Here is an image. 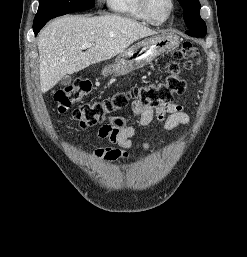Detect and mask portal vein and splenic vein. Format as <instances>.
I'll return each instance as SVG.
<instances>
[{
	"label": "portal vein and splenic vein",
	"instance_id": "portal-vein-and-splenic-vein-1",
	"mask_svg": "<svg viewBox=\"0 0 247 257\" xmlns=\"http://www.w3.org/2000/svg\"><path fill=\"white\" fill-rule=\"evenodd\" d=\"M92 45H93L92 43L86 42V43H84V44L82 45V48H89V47H91Z\"/></svg>",
	"mask_w": 247,
	"mask_h": 257
}]
</instances>
